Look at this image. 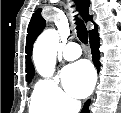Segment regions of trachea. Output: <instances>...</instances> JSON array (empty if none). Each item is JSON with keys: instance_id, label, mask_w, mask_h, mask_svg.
Segmentation results:
<instances>
[{"instance_id": "obj_1", "label": "trachea", "mask_w": 121, "mask_h": 113, "mask_svg": "<svg viewBox=\"0 0 121 113\" xmlns=\"http://www.w3.org/2000/svg\"><path fill=\"white\" fill-rule=\"evenodd\" d=\"M75 20H76L75 24L77 25L76 29H77V35H78L79 40L82 43L87 44L88 43V31H87L85 24L80 19L75 18Z\"/></svg>"}]
</instances>
